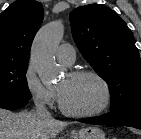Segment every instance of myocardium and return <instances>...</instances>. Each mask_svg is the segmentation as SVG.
Masks as SVG:
<instances>
[{
  "label": "myocardium",
  "instance_id": "1",
  "mask_svg": "<svg viewBox=\"0 0 141 139\" xmlns=\"http://www.w3.org/2000/svg\"><path fill=\"white\" fill-rule=\"evenodd\" d=\"M69 76L72 78H80V77H93L95 78L103 87L104 90V100L102 105L90 112H77L74 110L69 109L63 98L61 93L58 92V101L60 110L68 116L75 117V118H93L102 115L109 107L112 101V91L108 81L98 72L89 69H81V70H74L69 73Z\"/></svg>",
  "mask_w": 141,
  "mask_h": 139
}]
</instances>
